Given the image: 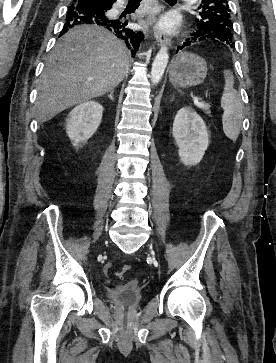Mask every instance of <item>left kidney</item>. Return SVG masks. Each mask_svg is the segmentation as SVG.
I'll list each match as a JSON object with an SVG mask.
<instances>
[{
    "label": "left kidney",
    "instance_id": "left-kidney-1",
    "mask_svg": "<svg viewBox=\"0 0 276 363\" xmlns=\"http://www.w3.org/2000/svg\"><path fill=\"white\" fill-rule=\"evenodd\" d=\"M172 135L178 155L186 166H195L203 158L209 144V134L203 119L191 108H181L173 122Z\"/></svg>",
    "mask_w": 276,
    "mask_h": 363
}]
</instances>
